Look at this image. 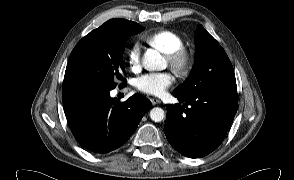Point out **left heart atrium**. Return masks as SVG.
Instances as JSON below:
<instances>
[{"mask_svg": "<svg viewBox=\"0 0 294 180\" xmlns=\"http://www.w3.org/2000/svg\"><path fill=\"white\" fill-rule=\"evenodd\" d=\"M174 81L175 78L170 72L146 73L135 79V87L142 93L160 96Z\"/></svg>", "mask_w": 294, "mask_h": 180, "instance_id": "obj_1", "label": "left heart atrium"}]
</instances>
